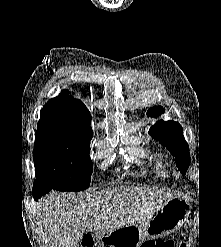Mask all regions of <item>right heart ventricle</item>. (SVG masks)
I'll return each mask as SVG.
<instances>
[{
  "mask_svg": "<svg viewBox=\"0 0 221 247\" xmlns=\"http://www.w3.org/2000/svg\"><path fill=\"white\" fill-rule=\"evenodd\" d=\"M153 167L157 174L164 175L165 174V162L162 156L156 155L153 160Z\"/></svg>",
  "mask_w": 221,
  "mask_h": 247,
  "instance_id": "obj_1",
  "label": "right heart ventricle"
}]
</instances>
